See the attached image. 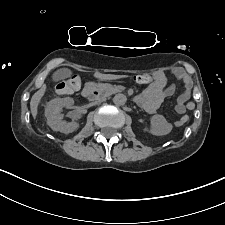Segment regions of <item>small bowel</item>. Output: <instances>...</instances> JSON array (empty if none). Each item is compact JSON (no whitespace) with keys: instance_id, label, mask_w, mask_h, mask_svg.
<instances>
[{"instance_id":"1","label":"small bowel","mask_w":225,"mask_h":225,"mask_svg":"<svg viewBox=\"0 0 225 225\" xmlns=\"http://www.w3.org/2000/svg\"><path fill=\"white\" fill-rule=\"evenodd\" d=\"M173 74L176 81L183 84V91L177 98L175 109L178 114H184L186 111L185 104L190 97L193 82L182 69H175ZM174 93L175 83H169L165 73L159 72L156 75L155 83L147 87L142 94L138 96L137 102L148 114H153L159 108L164 99L172 96ZM182 118L188 119L187 116H182L174 123L175 126H180L179 122Z\"/></svg>"}]
</instances>
